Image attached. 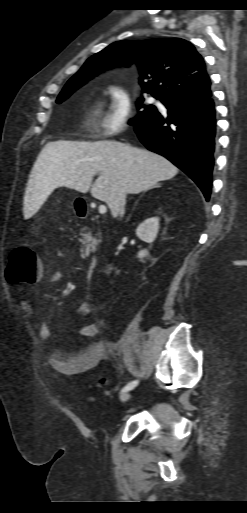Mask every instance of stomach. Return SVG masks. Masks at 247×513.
Wrapping results in <instances>:
<instances>
[{
  "label": "stomach",
  "instance_id": "stomach-1",
  "mask_svg": "<svg viewBox=\"0 0 247 513\" xmlns=\"http://www.w3.org/2000/svg\"><path fill=\"white\" fill-rule=\"evenodd\" d=\"M74 212H75V213H77V210L75 209V211H74Z\"/></svg>",
  "mask_w": 247,
  "mask_h": 513
}]
</instances>
